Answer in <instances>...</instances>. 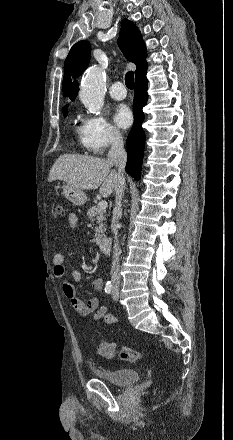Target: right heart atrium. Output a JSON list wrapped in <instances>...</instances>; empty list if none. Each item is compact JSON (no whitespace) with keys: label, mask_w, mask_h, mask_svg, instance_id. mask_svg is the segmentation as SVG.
I'll return each instance as SVG.
<instances>
[{"label":"right heart atrium","mask_w":233,"mask_h":440,"mask_svg":"<svg viewBox=\"0 0 233 440\" xmlns=\"http://www.w3.org/2000/svg\"><path fill=\"white\" fill-rule=\"evenodd\" d=\"M81 141L87 151L102 154L122 142V134L101 115H83Z\"/></svg>","instance_id":"right-heart-atrium-1"}]
</instances>
